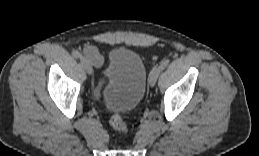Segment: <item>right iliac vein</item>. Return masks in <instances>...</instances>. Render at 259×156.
Here are the masks:
<instances>
[{
  "instance_id": "right-iliac-vein-1",
  "label": "right iliac vein",
  "mask_w": 259,
  "mask_h": 156,
  "mask_svg": "<svg viewBox=\"0 0 259 156\" xmlns=\"http://www.w3.org/2000/svg\"><path fill=\"white\" fill-rule=\"evenodd\" d=\"M80 62L82 64V66L84 67V69L87 71V73L89 75H92L93 74V69H92L89 61L85 57H81L80 58Z\"/></svg>"
}]
</instances>
